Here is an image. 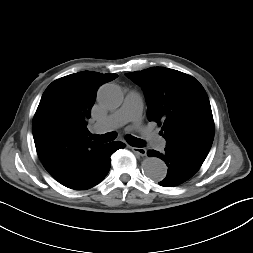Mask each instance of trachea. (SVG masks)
Listing matches in <instances>:
<instances>
[{
    "label": "trachea",
    "mask_w": 253,
    "mask_h": 253,
    "mask_svg": "<svg viewBox=\"0 0 253 253\" xmlns=\"http://www.w3.org/2000/svg\"><path fill=\"white\" fill-rule=\"evenodd\" d=\"M116 136H117V134L115 132H109L104 135L91 134L90 138L92 140L98 141L100 143H106V142H110V141L114 140L116 138ZM126 140L133 147H144L145 146V142L143 140L138 139L133 136H130V135L126 136Z\"/></svg>",
    "instance_id": "trachea-1"
}]
</instances>
